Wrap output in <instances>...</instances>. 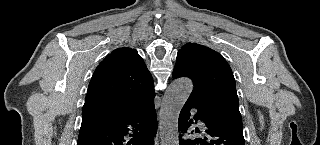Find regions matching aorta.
<instances>
[{
  "mask_svg": "<svg viewBox=\"0 0 320 145\" xmlns=\"http://www.w3.org/2000/svg\"><path fill=\"white\" fill-rule=\"evenodd\" d=\"M192 89L193 83L190 79L179 78L165 92L159 118L162 145L179 144L178 118Z\"/></svg>",
  "mask_w": 320,
  "mask_h": 145,
  "instance_id": "obj_1",
  "label": "aorta"
}]
</instances>
